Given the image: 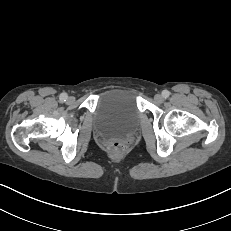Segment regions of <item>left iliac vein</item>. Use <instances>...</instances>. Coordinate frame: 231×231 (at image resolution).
Listing matches in <instances>:
<instances>
[{
	"label": "left iliac vein",
	"instance_id": "left-iliac-vein-1",
	"mask_svg": "<svg viewBox=\"0 0 231 231\" xmlns=\"http://www.w3.org/2000/svg\"><path fill=\"white\" fill-rule=\"evenodd\" d=\"M154 100L157 102V103H161L163 101V96L161 94H156L154 96Z\"/></svg>",
	"mask_w": 231,
	"mask_h": 231
}]
</instances>
